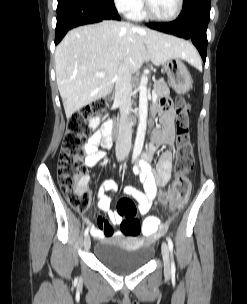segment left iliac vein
I'll return each mask as SVG.
<instances>
[{
	"mask_svg": "<svg viewBox=\"0 0 247 304\" xmlns=\"http://www.w3.org/2000/svg\"><path fill=\"white\" fill-rule=\"evenodd\" d=\"M162 257L164 262V271L166 274H170L171 267H170V258H169V247L166 242L162 244Z\"/></svg>",
	"mask_w": 247,
	"mask_h": 304,
	"instance_id": "obj_1",
	"label": "left iliac vein"
}]
</instances>
